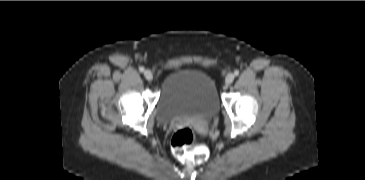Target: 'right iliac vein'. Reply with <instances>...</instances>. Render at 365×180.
<instances>
[{
  "label": "right iliac vein",
  "instance_id": "obj_1",
  "mask_svg": "<svg viewBox=\"0 0 365 180\" xmlns=\"http://www.w3.org/2000/svg\"><path fill=\"white\" fill-rule=\"evenodd\" d=\"M144 76L148 81H151L153 79V74L150 70H145L144 71Z\"/></svg>",
  "mask_w": 365,
  "mask_h": 180
}]
</instances>
